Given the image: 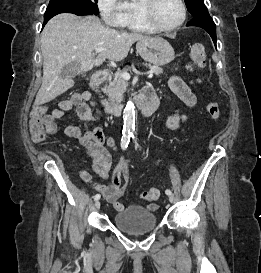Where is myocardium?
Segmentation results:
<instances>
[{
    "mask_svg": "<svg viewBox=\"0 0 261 273\" xmlns=\"http://www.w3.org/2000/svg\"><path fill=\"white\" fill-rule=\"evenodd\" d=\"M180 4L182 15L181 19L175 25L165 28L158 25L155 20V8L158 0H142V11L146 24L155 32L169 33L180 28L186 21L187 18V7L184 0H177Z\"/></svg>",
    "mask_w": 261,
    "mask_h": 273,
    "instance_id": "obj_1",
    "label": "myocardium"
}]
</instances>
